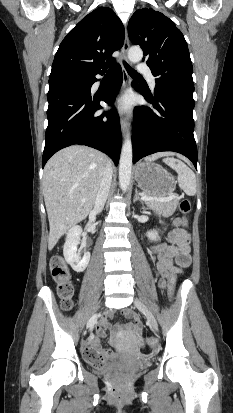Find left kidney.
<instances>
[{
    "label": "left kidney",
    "mask_w": 233,
    "mask_h": 413,
    "mask_svg": "<svg viewBox=\"0 0 233 413\" xmlns=\"http://www.w3.org/2000/svg\"><path fill=\"white\" fill-rule=\"evenodd\" d=\"M147 237H148L149 239H151V240H154V241L158 240V239H159V236H158L157 230H150V231H148V232H147Z\"/></svg>",
    "instance_id": "obj_1"
}]
</instances>
